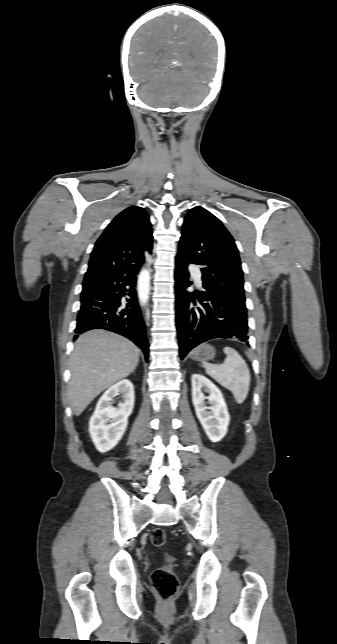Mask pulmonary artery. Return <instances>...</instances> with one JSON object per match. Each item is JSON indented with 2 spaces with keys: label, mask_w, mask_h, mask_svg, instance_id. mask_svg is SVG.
Returning a JSON list of instances; mask_svg holds the SVG:
<instances>
[{
  "label": "pulmonary artery",
  "mask_w": 337,
  "mask_h": 644,
  "mask_svg": "<svg viewBox=\"0 0 337 644\" xmlns=\"http://www.w3.org/2000/svg\"><path fill=\"white\" fill-rule=\"evenodd\" d=\"M191 270H192V272L194 273V276H195V279H196V283H197L199 286H201V285H202V280H201V274H200L199 270H198L196 267H194V266H192V267H191Z\"/></svg>",
  "instance_id": "pulmonary-artery-1"
}]
</instances>
